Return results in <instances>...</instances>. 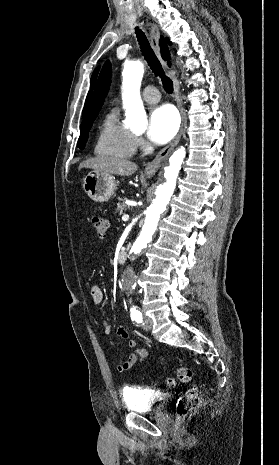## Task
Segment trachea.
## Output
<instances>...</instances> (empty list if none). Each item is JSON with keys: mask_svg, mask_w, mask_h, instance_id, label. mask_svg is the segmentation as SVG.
Here are the masks:
<instances>
[{"mask_svg": "<svg viewBox=\"0 0 279 465\" xmlns=\"http://www.w3.org/2000/svg\"><path fill=\"white\" fill-rule=\"evenodd\" d=\"M136 29V37L138 39L142 54L147 61L148 65L155 73L156 76H159L162 80L163 87L165 91L169 94L173 92V82L172 80L167 77L163 71V68L157 59L156 55L154 54L147 37L145 36L144 32H142L138 27Z\"/></svg>", "mask_w": 279, "mask_h": 465, "instance_id": "3493384b", "label": "trachea"}]
</instances>
